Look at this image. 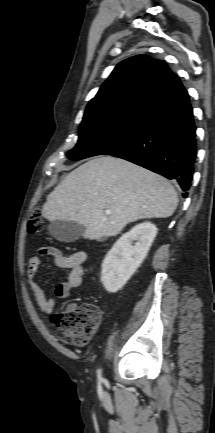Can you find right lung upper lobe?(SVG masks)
I'll list each match as a JSON object with an SVG mask.
<instances>
[{
	"label": "right lung upper lobe",
	"instance_id": "cb5924a9",
	"mask_svg": "<svg viewBox=\"0 0 215 433\" xmlns=\"http://www.w3.org/2000/svg\"><path fill=\"white\" fill-rule=\"evenodd\" d=\"M184 90L165 62L137 55L115 67L87 105L82 122L126 115L146 116Z\"/></svg>",
	"mask_w": 215,
	"mask_h": 433
}]
</instances>
